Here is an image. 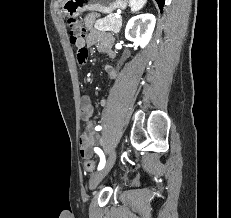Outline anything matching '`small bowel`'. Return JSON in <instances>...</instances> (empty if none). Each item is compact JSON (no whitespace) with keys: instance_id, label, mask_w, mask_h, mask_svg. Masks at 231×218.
<instances>
[{"instance_id":"obj_1","label":"small bowel","mask_w":231,"mask_h":218,"mask_svg":"<svg viewBox=\"0 0 231 218\" xmlns=\"http://www.w3.org/2000/svg\"><path fill=\"white\" fill-rule=\"evenodd\" d=\"M96 18V14H89L85 18V24L89 29V33L86 39L77 42L75 45L78 49L97 46L98 49L104 53H106L109 57L113 58L114 52L111 50V38L109 35L101 33L97 30L92 28L93 22ZM77 65H88L89 59L88 58H77L76 59ZM107 73L109 74L112 80L116 79L117 71L116 69L111 66L107 65L105 67ZM108 104V100L106 98L102 99L100 105L102 107H106ZM81 114L85 121L88 122L90 115L92 114V105L91 100L88 95H84L81 99ZM87 127L89 128L90 125L88 124ZM97 136H88L87 134H83L79 141L80 146V153L82 157H89L92 154L93 146L98 141Z\"/></svg>"}]
</instances>
